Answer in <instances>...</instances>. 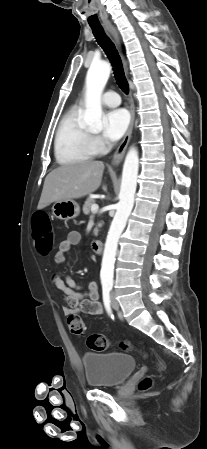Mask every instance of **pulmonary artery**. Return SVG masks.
<instances>
[{
    "mask_svg": "<svg viewBox=\"0 0 207 449\" xmlns=\"http://www.w3.org/2000/svg\"><path fill=\"white\" fill-rule=\"evenodd\" d=\"M102 102L106 106L116 107V106L120 105L121 99H120V96H119V94L117 92H115V91H107L102 96Z\"/></svg>",
    "mask_w": 207,
    "mask_h": 449,
    "instance_id": "1",
    "label": "pulmonary artery"
}]
</instances>
